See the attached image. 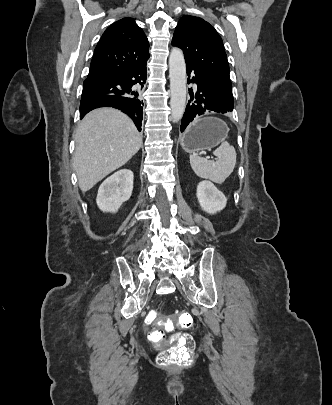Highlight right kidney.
Masks as SVG:
<instances>
[{"instance_id":"ca27d5eb","label":"right kidney","mask_w":332,"mask_h":405,"mask_svg":"<svg viewBox=\"0 0 332 405\" xmlns=\"http://www.w3.org/2000/svg\"><path fill=\"white\" fill-rule=\"evenodd\" d=\"M134 174L123 169L108 177L99 187L96 203L103 212L115 213L123 202L130 199Z\"/></svg>"}]
</instances>
